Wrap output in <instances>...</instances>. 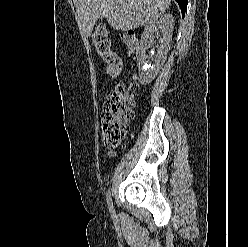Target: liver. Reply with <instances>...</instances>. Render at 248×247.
I'll use <instances>...</instances> for the list:
<instances>
[{"mask_svg":"<svg viewBox=\"0 0 248 247\" xmlns=\"http://www.w3.org/2000/svg\"><path fill=\"white\" fill-rule=\"evenodd\" d=\"M82 22V31L90 35L96 21L106 18L116 30L135 29L164 13L171 0H73Z\"/></svg>","mask_w":248,"mask_h":247,"instance_id":"liver-1","label":"liver"}]
</instances>
